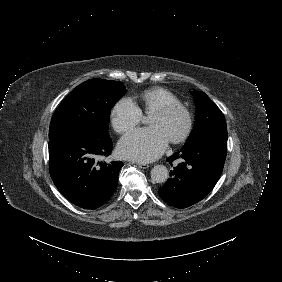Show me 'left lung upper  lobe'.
<instances>
[{"instance_id":"left-lung-upper-lobe-1","label":"left lung upper lobe","mask_w":282,"mask_h":282,"mask_svg":"<svg viewBox=\"0 0 282 282\" xmlns=\"http://www.w3.org/2000/svg\"><path fill=\"white\" fill-rule=\"evenodd\" d=\"M191 93L196 104V116L193 131L186 143L207 130L226 127L221 110L204 92L194 90Z\"/></svg>"}]
</instances>
